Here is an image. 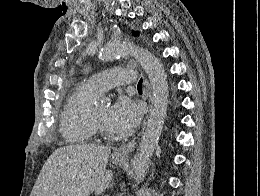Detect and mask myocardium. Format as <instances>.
<instances>
[{
    "label": "myocardium",
    "mask_w": 260,
    "mask_h": 196,
    "mask_svg": "<svg viewBox=\"0 0 260 196\" xmlns=\"http://www.w3.org/2000/svg\"><path fill=\"white\" fill-rule=\"evenodd\" d=\"M90 123H91L92 127L96 131H98L100 134H102L106 137H109L108 130L102 124L99 123L93 110H92L91 116H90Z\"/></svg>",
    "instance_id": "f54148a6"
}]
</instances>
